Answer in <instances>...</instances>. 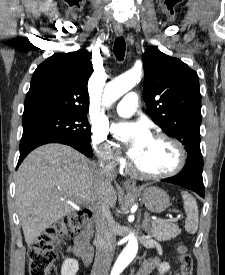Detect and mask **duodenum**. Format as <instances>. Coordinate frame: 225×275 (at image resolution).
Returning <instances> with one entry per match:
<instances>
[{
  "label": "duodenum",
  "mask_w": 225,
  "mask_h": 275,
  "mask_svg": "<svg viewBox=\"0 0 225 275\" xmlns=\"http://www.w3.org/2000/svg\"><path fill=\"white\" fill-rule=\"evenodd\" d=\"M92 232V224L89 223L77 234L74 241V251L84 261L86 266H89L93 259V249L89 243Z\"/></svg>",
  "instance_id": "410a0bca"
}]
</instances>
